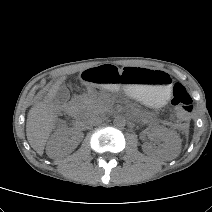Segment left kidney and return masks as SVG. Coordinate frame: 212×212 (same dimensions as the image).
Instances as JSON below:
<instances>
[{"label": "left kidney", "instance_id": "obj_1", "mask_svg": "<svg viewBox=\"0 0 212 212\" xmlns=\"http://www.w3.org/2000/svg\"><path fill=\"white\" fill-rule=\"evenodd\" d=\"M152 136L163 141L161 148L157 153L165 160H172L178 156L181 149V141L177 133L167 128H156L152 131ZM143 150L146 154H151L154 149L152 146L145 144Z\"/></svg>", "mask_w": 212, "mask_h": 212}]
</instances>
